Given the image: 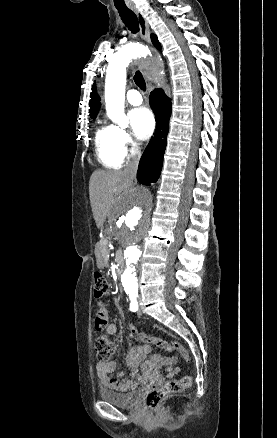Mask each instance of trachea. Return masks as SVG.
Returning <instances> with one entry per match:
<instances>
[{
    "mask_svg": "<svg viewBox=\"0 0 277 438\" xmlns=\"http://www.w3.org/2000/svg\"><path fill=\"white\" fill-rule=\"evenodd\" d=\"M119 15L131 33L136 34L139 31V22L136 14L127 7L117 8ZM135 84L143 91H146V83L145 80L139 70L136 71L134 75Z\"/></svg>",
    "mask_w": 277,
    "mask_h": 438,
    "instance_id": "trachea-1",
    "label": "trachea"
}]
</instances>
